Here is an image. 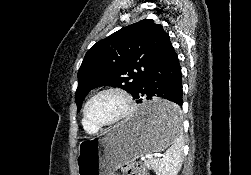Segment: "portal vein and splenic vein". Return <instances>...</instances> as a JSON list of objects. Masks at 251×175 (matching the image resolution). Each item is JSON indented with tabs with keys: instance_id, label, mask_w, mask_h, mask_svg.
I'll use <instances>...</instances> for the list:
<instances>
[{
	"instance_id": "portal-vein-and-splenic-vein-1",
	"label": "portal vein and splenic vein",
	"mask_w": 251,
	"mask_h": 175,
	"mask_svg": "<svg viewBox=\"0 0 251 175\" xmlns=\"http://www.w3.org/2000/svg\"><path fill=\"white\" fill-rule=\"evenodd\" d=\"M165 154L163 151H153L152 153H144L140 156L141 160H146L147 158H164Z\"/></svg>"
}]
</instances>
